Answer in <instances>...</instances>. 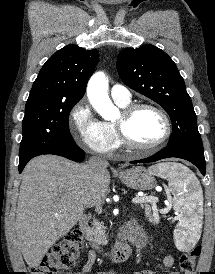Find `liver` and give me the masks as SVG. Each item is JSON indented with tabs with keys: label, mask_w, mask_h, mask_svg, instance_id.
I'll return each mask as SVG.
<instances>
[{
	"label": "liver",
	"mask_w": 215,
	"mask_h": 274,
	"mask_svg": "<svg viewBox=\"0 0 215 274\" xmlns=\"http://www.w3.org/2000/svg\"><path fill=\"white\" fill-rule=\"evenodd\" d=\"M109 185L106 168L93 173L87 164L54 155L29 161L22 173L14 226L17 246L26 263L37 267L84 210L105 197Z\"/></svg>",
	"instance_id": "6515ba94"
}]
</instances>
